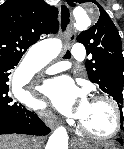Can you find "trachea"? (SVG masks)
I'll use <instances>...</instances> for the list:
<instances>
[{
	"mask_svg": "<svg viewBox=\"0 0 124 149\" xmlns=\"http://www.w3.org/2000/svg\"><path fill=\"white\" fill-rule=\"evenodd\" d=\"M58 28H59V22L55 21V23L53 24L52 28H51V33L52 34H56L58 32ZM65 58L69 59L71 57V54L69 51H67V53L64 56Z\"/></svg>",
	"mask_w": 124,
	"mask_h": 149,
	"instance_id": "1",
	"label": "trachea"
}]
</instances>
